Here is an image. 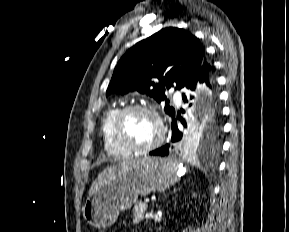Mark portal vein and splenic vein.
<instances>
[{
  "label": "portal vein and splenic vein",
  "instance_id": "portal-vein-and-splenic-vein-1",
  "mask_svg": "<svg viewBox=\"0 0 289 232\" xmlns=\"http://www.w3.org/2000/svg\"><path fill=\"white\" fill-rule=\"evenodd\" d=\"M149 201H150V199H149V198H146V199L144 200V203H149Z\"/></svg>",
  "mask_w": 289,
  "mask_h": 232
}]
</instances>
